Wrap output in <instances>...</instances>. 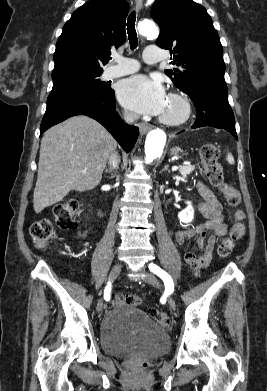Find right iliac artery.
<instances>
[{
	"instance_id": "obj_1",
	"label": "right iliac artery",
	"mask_w": 267,
	"mask_h": 391,
	"mask_svg": "<svg viewBox=\"0 0 267 391\" xmlns=\"http://www.w3.org/2000/svg\"><path fill=\"white\" fill-rule=\"evenodd\" d=\"M110 289H111V286H110V283H108V285H107V287L105 289V293H109Z\"/></svg>"
}]
</instances>
